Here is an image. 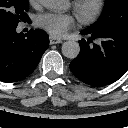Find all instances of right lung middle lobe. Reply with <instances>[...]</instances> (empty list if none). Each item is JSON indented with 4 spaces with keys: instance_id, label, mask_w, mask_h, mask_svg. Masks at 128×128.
<instances>
[{
    "instance_id": "dd1d6c3e",
    "label": "right lung middle lobe",
    "mask_w": 128,
    "mask_h": 128,
    "mask_svg": "<svg viewBox=\"0 0 128 128\" xmlns=\"http://www.w3.org/2000/svg\"><path fill=\"white\" fill-rule=\"evenodd\" d=\"M28 0H0V28H16L18 22L29 20Z\"/></svg>"
}]
</instances>
